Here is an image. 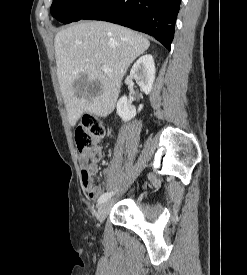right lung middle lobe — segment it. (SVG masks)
<instances>
[{"instance_id":"1","label":"right lung middle lobe","mask_w":247,"mask_h":275,"mask_svg":"<svg viewBox=\"0 0 247 275\" xmlns=\"http://www.w3.org/2000/svg\"><path fill=\"white\" fill-rule=\"evenodd\" d=\"M103 0H53L51 14L58 21L68 24L81 20Z\"/></svg>"}]
</instances>
